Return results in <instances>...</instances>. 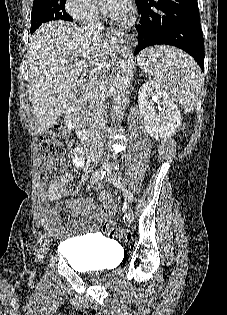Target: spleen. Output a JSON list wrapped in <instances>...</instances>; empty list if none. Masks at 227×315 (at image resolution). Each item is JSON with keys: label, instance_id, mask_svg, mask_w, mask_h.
<instances>
[{"label": "spleen", "instance_id": "obj_1", "mask_svg": "<svg viewBox=\"0 0 227 315\" xmlns=\"http://www.w3.org/2000/svg\"><path fill=\"white\" fill-rule=\"evenodd\" d=\"M138 62L186 112L194 110L204 81L191 57L176 48L161 46L144 50Z\"/></svg>", "mask_w": 227, "mask_h": 315}]
</instances>
